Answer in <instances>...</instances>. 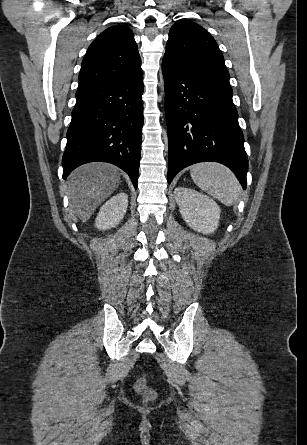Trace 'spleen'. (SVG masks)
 Returning <instances> with one entry per match:
<instances>
[{
    "mask_svg": "<svg viewBox=\"0 0 307 445\" xmlns=\"http://www.w3.org/2000/svg\"><path fill=\"white\" fill-rule=\"evenodd\" d=\"M190 174L197 186L227 206H231L241 192L234 172L219 162L193 164Z\"/></svg>",
    "mask_w": 307,
    "mask_h": 445,
    "instance_id": "1",
    "label": "spleen"
}]
</instances>
